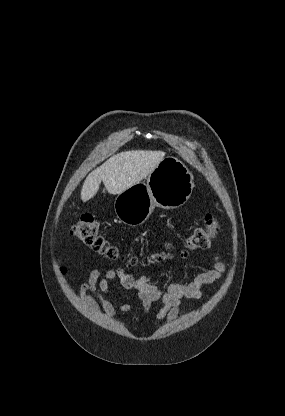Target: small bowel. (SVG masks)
<instances>
[{
    "label": "small bowel",
    "instance_id": "obj_1",
    "mask_svg": "<svg viewBox=\"0 0 285 416\" xmlns=\"http://www.w3.org/2000/svg\"><path fill=\"white\" fill-rule=\"evenodd\" d=\"M165 247L171 248L167 244ZM180 255L185 258L188 256V252L182 251ZM225 269L226 266L220 257L219 250H217L214 267L199 273L188 283L171 282L164 286H158L147 276L135 278L121 267L108 269L104 274L98 268H94L81 284L78 295L82 302L97 314L114 318L117 315V308L124 313H129L131 307L128 303L111 299L110 284L118 279L124 289L132 291L142 302L145 312L150 310L153 303L160 302L162 306L157 312L155 320L157 322L165 320L170 323L184 312L181 310L183 301L201 299L203 297L202 288L219 281Z\"/></svg>",
    "mask_w": 285,
    "mask_h": 416
}]
</instances>
